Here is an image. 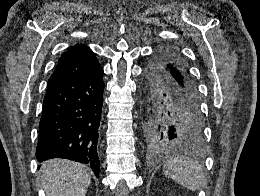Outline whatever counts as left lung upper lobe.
I'll list each match as a JSON object with an SVG mask.
<instances>
[{
	"label": "left lung upper lobe",
	"mask_w": 260,
	"mask_h": 196,
	"mask_svg": "<svg viewBox=\"0 0 260 196\" xmlns=\"http://www.w3.org/2000/svg\"><path fill=\"white\" fill-rule=\"evenodd\" d=\"M142 136L151 151L203 142L204 121L197 86L175 47H163L149 61L144 83Z\"/></svg>",
	"instance_id": "1"
}]
</instances>
